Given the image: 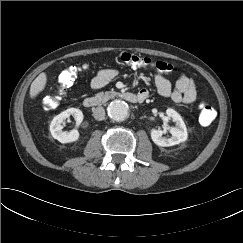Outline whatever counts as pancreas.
Listing matches in <instances>:
<instances>
[{
    "mask_svg": "<svg viewBox=\"0 0 243 243\" xmlns=\"http://www.w3.org/2000/svg\"><path fill=\"white\" fill-rule=\"evenodd\" d=\"M114 94H116V92H114V91H106V92H99V93H97L96 95H95V99L97 100V101H104V100H106V99H108V98H110V96H112V95H114Z\"/></svg>",
    "mask_w": 243,
    "mask_h": 243,
    "instance_id": "obj_1",
    "label": "pancreas"
}]
</instances>
